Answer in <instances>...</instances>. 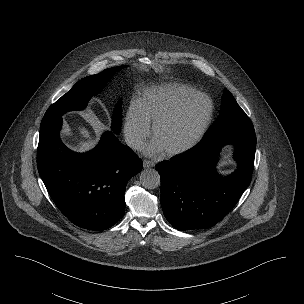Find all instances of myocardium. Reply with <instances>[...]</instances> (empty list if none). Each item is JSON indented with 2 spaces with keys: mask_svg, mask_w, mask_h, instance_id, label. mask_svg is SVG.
Returning a JSON list of instances; mask_svg holds the SVG:
<instances>
[{
  "mask_svg": "<svg viewBox=\"0 0 304 304\" xmlns=\"http://www.w3.org/2000/svg\"><path fill=\"white\" fill-rule=\"evenodd\" d=\"M198 100L204 101L207 104V111H206V114L203 118V121H202L200 127L198 128V130L196 131L194 136L186 143H184L178 147L165 150L167 155L176 156V155L183 154V153L191 150L192 148H194L201 141V139L204 137V135L207 132V130L210 126V123L212 121L213 112H214L213 102L204 93H201V92L193 93V94L187 96L186 98H184L175 107H173L171 110H169L168 112H166L165 114L160 116L153 123L152 133H153V137L155 138L159 128L163 124H165L166 122H168L171 119L178 116L190 103H192L194 101H198Z\"/></svg>",
  "mask_w": 304,
  "mask_h": 304,
  "instance_id": "f54148a6",
  "label": "myocardium"
}]
</instances>
